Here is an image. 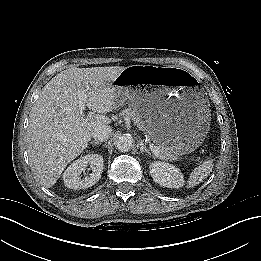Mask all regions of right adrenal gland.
<instances>
[{
  "label": "right adrenal gland",
  "instance_id": "1",
  "mask_svg": "<svg viewBox=\"0 0 261 261\" xmlns=\"http://www.w3.org/2000/svg\"><path fill=\"white\" fill-rule=\"evenodd\" d=\"M90 144H93V145H101V143L98 142V141H92V142H90Z\"/></svg>",
  "mask_w": 261,
  "mask_h": 261
}]
</instances>
